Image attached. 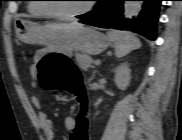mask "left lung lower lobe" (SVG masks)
<instances>
[{
    "label": "left lung lower lobe",
    "mask_w": 182,
    "mask_h": 140,
    "mask_svg": "<svg viewBox=\"0 0 182 140\" xmlns=\"http://www.w3.org/2000/svg\"><path fill=\"white\" fill-rule=\"evenodd\" d=\"M161 0H144L138 18L124 19V0H101L96 9L80 19V23L100 27L128 30L150 40L156 38V27Z\"/></svg>",
    "instance_id": "obj_1"
}]
</instances>
